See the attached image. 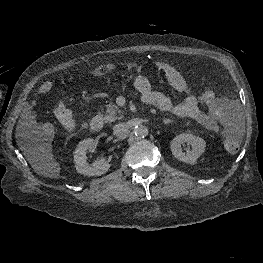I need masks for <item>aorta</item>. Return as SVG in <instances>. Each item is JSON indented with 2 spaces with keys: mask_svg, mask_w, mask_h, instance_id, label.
<instances>
[{
  "mask_svg": "<svg viewBox=\"0 0 263 263\" xmlns=\"http://www.w3.org/2000/svg\"><path fill=\"white\" fill-rule=\"evenodd\" d=\"M148 128L144 125H138L134 129V134L139 138H144L148 135Z\"/></svg>",
  "mask_w": 263,
  "mask_h": 263,
  "instance_id": "obj_1",
  "label": "aorta"
}]
</instances>
